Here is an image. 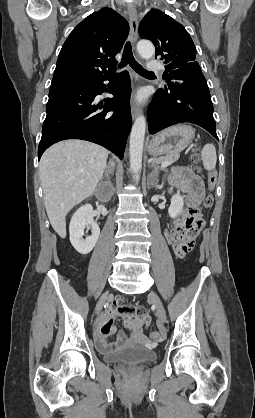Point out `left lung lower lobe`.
I'll return each instance as SVG.
<instances>
[{
	"mask_svg": "<svg viewBox=\"0 0 255 418\" xmlns=\"http://www.w3.org/2000/svg\"><path fill=\"white\" fill-rule=\"evenodd\" d=\"M182 122L197 124L218 139L210 92L200 66L171 71L148 109L150 134Z\"/></svg>",
	"mask_w": 255,
	"mask_h": 418,
	"instance_id": "obj_1",
	"label": "left lung lower lobe"
}]
</instances>
